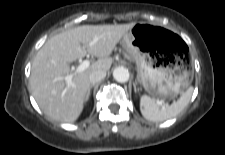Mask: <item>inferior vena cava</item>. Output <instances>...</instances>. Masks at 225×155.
I'll list each match as a JSON object with an SVG mask.
<instances>
[{
  "label": "inferior vena cava",
  "mask_w": 225,
  "mask_h": 155,
  "mask_svg": "<svg viewBox=\"0 0 225 155\" xmlns=\"http://www.w3.org/2000/svg\"><path fill=\"white\" fill-rule=\"evenodd\" d=\"M106 76V71L104 70H96L92 72L89 76V81L91 84H95L100 82Z\"/></svg>",
  "instance_id": "1"
}]
</instances>
